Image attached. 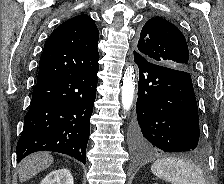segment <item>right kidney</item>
Returning a JSON list of instances; mask_svg holds the SVG:
<instances>
[{
    "instance_id": "1",
    "label": "right kidney",
    "mask_w": 224,
    "mask_h": 184,
    "mask_svg": "<svg viewBox=\"0 0 224 184\" xmlns=\"http://www.w3.org/2000/svg\"><path fill=\"white\" fill-rule=\"evenodd\" d=\"M40 184H74L68 169H58L50 172Z\"/></svg>"
}]
</instances>
